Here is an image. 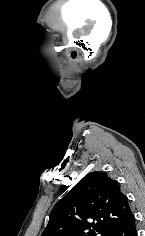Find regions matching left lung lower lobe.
Here are the masks:
<instances>
[{
  "mask_svg": "<svg viewBox=\"0 0 145 236\" xmlns=\"http://www.w3.org/2000/svg\"><path fill=\"white\" fill-rule=\"evenodd\" d=\"M112 236H137L135 217L133 213L116 228Z\"/></svg>",
  "mask_w": 145,
  "mask_h": 236,
  "instance_id": "0a47b994",
  "label": "left lung lower lobe"
}]
</instances>
